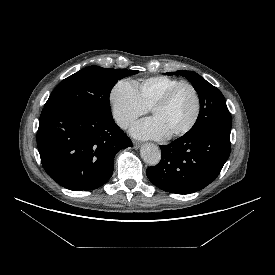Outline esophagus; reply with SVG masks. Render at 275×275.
Returning <instances> with one entry per match:
<instances>
[{"label": "esophagus", "instance_id": "obj_1", "mask_svg": "<svg viewBox=\"0 0 275 275\" xmlns=\"http://www.w3.org/2000/svg\"><path fill=\"white\" fill-rule=\"evenodd\" d=\"M133 146L135 149H139L141 147V143L134 141Z\"/></svg>", "mask_w": 275, "mask_h": 275}]
</instances>
